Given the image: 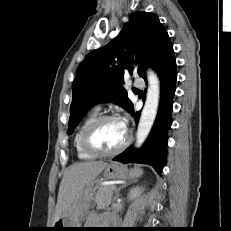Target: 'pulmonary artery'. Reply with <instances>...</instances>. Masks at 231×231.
<instances>
[{
  "instance_id": "pulmonary-artery-1",
  "label": "pulmonary artery",
  "mask_w": 231,
  "mask_h": 231,
  "mask_svg": "<svg viewBox=\"0 0 231 231\" xmlns=\"http://www.w3.org/2000/svg\"><path fill=\"white\" fill-rule=\"evenodd\" d=\"M133 86L137 89H142L144 87V81L140 78H136L133 82ZM99 109V107H97Z\"/></svg>"
}]
</instances>
